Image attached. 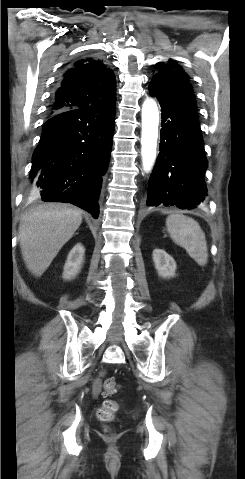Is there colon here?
Segmentation results:
<instances>
[{
  "instance_id": "colon-1",
  "label": "colon",
  "mask_w": 245,
  "mask_h": 479,
  "mask_svg": "<svg viewBox=\"0 0 245 479\" xmlns=\"http://www.w3.org/2000/svg\"><path fill=\"white\" fill-rule=\"evenodd\" d=\"M103 390L105 394H115L119 390V385L114 379L106 378L103 382ZM118 409L119 404L116 401L106 400L98 411V418L102 421H110Z\"/></svg>"
}]
</instances>
